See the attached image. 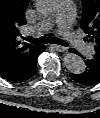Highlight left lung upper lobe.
<instances>
[{"label":"left lung upper lobe","instance_id":"obj_1","mask_svg":"<svg viewBox=\"0 0 100 118\" xmlns=\"http://www.w3.org/2000/svg\"><path fill=\"white\" fill-rule=\"evenodd\" d=\"M83 16L81 28L88 34L86 40L95 48V55L100 56V0H82Z\"/></svg>","mask_w":100,"mask_h":118}]
</instances>
